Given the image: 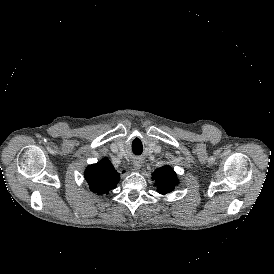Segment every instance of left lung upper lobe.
<instances>
[{
    "label": "left lung upper lobe",
    "instance_id": "1",
    "mask_svg": "<svg viewBox=\"0 0 274 274\" xmlns=\"http://www.w3.org/2000/svg\"><path fill=\"white\" fill-rule=\"evenodd\" d=\"M152 179L155 181L159 193L163 194L173 191L178 184L176 174L170 166L156 169L152 174Z\"/></svg>",
    "mask_w": 274,
    "mask_h": 274
}]
</instances>
